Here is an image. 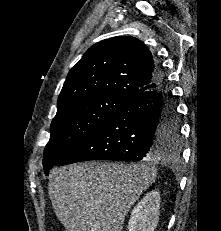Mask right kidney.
<instances>
[{
    "instance_id": "obj_1",
    "label": "right kidney",
    "mask_w": 221,
    "mask_h": 231,
    "mask_svg": "<svg viewBox=\"0 0 221 231\" xmlns=\"http://www.w3.org/2000/svg\"><path fill=\"white\" fill-rule=\"evenodd\" d=\"M160 193H147L131 212L128 231H154L159 221Z\"/></svg>"
}]
</instances>
